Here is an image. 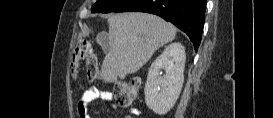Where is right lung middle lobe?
<instances>
[{
  "label": "right lung middle lobe",
  "instance_id": "right-lung-middle-lobe-1",
  "mask_svg": "<svg viewBox=\"0 0 273 118\" xmlns=\"http://www.w3.org/2000/svg\"><path fill=\"white\" fill-rule=\"evenodd\" d=\"M127 0H97L92 6L91 11L93 13H109L114 12Z\"/></svg>",
  "mask_w": 273,
  "mask_h": 118
}]
</instances>
